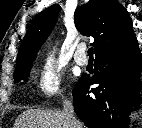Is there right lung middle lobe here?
I'll use <instances>...</instances> for the list:
<instances>
[{
    "mask_svg": "<svg viewBox=\"0 0 142 128\" xmlns=\"http://www.w3.org/2000/svg\"><path fill=\"white\" fill-rule=\"evenodd\" d=\"M33 61H34V59L28 60L26 62H22V63L16 65V69H15V72H14L15 81L19 82L22 79H24L25 81L28 80L27 76L29 75Z\"/></svg>",
    "mask_w": 142,
    "mask_h": 128,
    "instance_id": "1",
    "label": "right lung middle lobe"
}]
</instances>
